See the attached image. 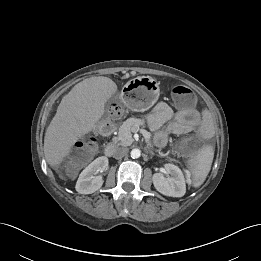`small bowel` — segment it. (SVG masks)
I'll list each match as a JSON object with an SVG mask.
<instances>
[{
  "label": "small bowel",
  "mask_w": 261,
  "mask_h": 261,
  "mask_svg": "<svg viewBox=\"0 0 261 261\" xmlns=\"http://www.w3.org/2000/svg\"><path fill=\"white\" fill-rule=\"evenodd\" d=\"M148 127L156 131L154 141L159 147L167 144L169 135H181L197 132L203 138L213 135V123L208 113L201 114L196 109L174 111L165 102L155 105L152 112L146 116ZM168 124L165 130L162 127Z\"/></svg>",
  "instance_id": "c3829d8e"
}]
</instances>
